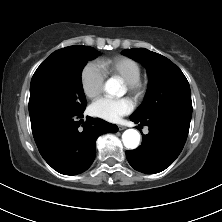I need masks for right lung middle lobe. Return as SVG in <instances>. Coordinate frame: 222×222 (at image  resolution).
<instances>
[{
  "mask_svg": "<svg viewBox=\"0 0 222 222\" xmlns=\"http://www.w3.org/2000/svg\"><path fill=\"white\" fill-rule=\"evenodd\" d=\"M100 53L89 46L53 52L35 71L30 85V119L47 113H82L86 107L81 72Z\"/></svg>",
  "mask_w": 222,
  "mask_h": 222,
  "instance_id": "dd1d6c3e",
  "label": "right lung middle lobe"
}]
</instances>
